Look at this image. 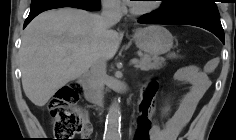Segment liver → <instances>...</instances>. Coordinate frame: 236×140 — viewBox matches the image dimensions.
I'll return each mask as SVG.
<instances>
[{"instance_id": "6515ba94", "label": "liver", "mask_w": 236, "mask_h": 140, "mask_svg": "<svg viewBox=\"0 0 236 140\" xmlns=\"http://www.w3.org/2000/svg\"><path fill=\"white\" fill-rule=\"evenodd\" d=\"M121 40L118 32L103 27L98 14L75 8L41 13L25 28L19 50L25 95L43 107L97 59L113 58Z\"/></svg>"}]
</instances>
